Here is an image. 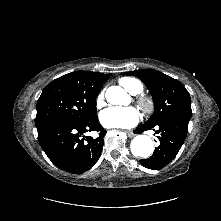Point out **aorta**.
Wrapping results in <instances>:
<instances>
[{"label":"aorta","instance_id":"762f6f07","mask_svg":"<svg viewBox=\"0 0 221 221\" xmlns=\"http://www.w3.org/2000/svg\"><path fill=\"white\" fill-rule=\"evenodd\" d=\"M105 97L113 105H123L127 94L121 87L111 86L107 89ZM130 147L135 157L148 158L153 152L154 143L147 135H137L131 141Z\"/></svg>","mask_w":221,"mask_h":221}]
</instances>
